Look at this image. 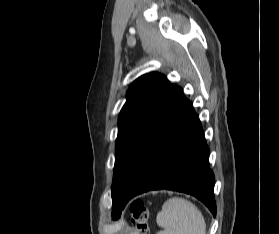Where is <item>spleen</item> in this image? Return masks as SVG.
<instances>
[{
  "label": "spleen",
  "mask_w": 279,
  "mask_h": 234,
  "mask_svg": "<svg viewBox=\"0 0 279 234\" xmlns=\"http://www.w3.org/2000/svg\"><path fill=\"white\" fill-rule=\"evenodd\" d=\"M156 222L163 229L157 234H206L201 211L192 202L179 197L165 201Z\"/></svg>",
  "instance_id": "obj_1"
}]
</instances>
